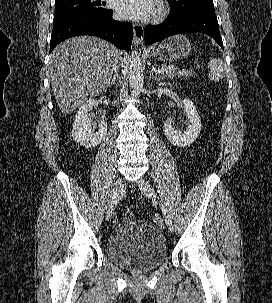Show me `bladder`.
<instances>
[{
  "mask_svg": "<svg viewBox=\"0 0 272 303\" xmlns=\"http://www.w3.org/2000/svg\"><path fill=\"white\" fill-rule=\"evenodd\" d=\"M105 252L115 264L141 272L153 269L165 260L166 244L155 225L133 219L121 224L109 236Z\"/></svg>",
  "mask_w": 272,
  "mask_h": 303,
  "instance_id": "bladder-1",
  "label": "bladder"
}]
</instances>
